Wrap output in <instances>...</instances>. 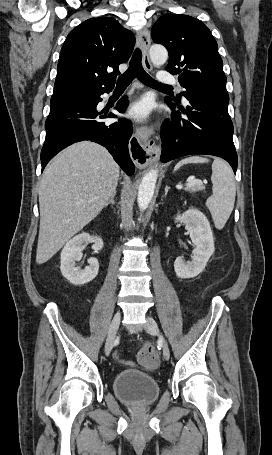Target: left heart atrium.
<instances>
[{
    "label": "left heart atrium",
    "mask_w": 272,
    "mask_h": 455,
    "mask_svg": "<svg viewBox=\"0 0 272 455\" xmlns=\"http://www.w3.org/2000/svg\"><path fill=\"white\" fill-rule=\"evenodd\" d=\"M152 110L151 102L147 99H141L130 109V115L138 120L146 118Z\"/></svg>",
    "instance_id": "obj_1"
}]
</instances>
